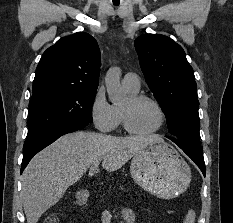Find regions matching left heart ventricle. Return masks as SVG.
I'll list each match as a JSON object with an SVG mask.
<instances>
[{
  "mask_svg": "<svg viewBox=\"0 0 233 223\" xmlns=\"http://www.w3.org/2000/svg\"><path fill=\"white\" fill-rule=\"evenodd\" d=\"M122 108L128 110L130 124L138 132L153 131L160 124L159 111L150 101H141L133 105L126 101Z\"/></svg>",
  "mask_w": 233,
  "mask_h": 223,
  "instance_id": "obj_1",
  "label": "left heart ventricle"
}]
</instances>
